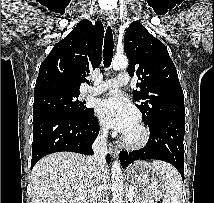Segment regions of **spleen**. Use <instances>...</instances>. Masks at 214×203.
<instances>
[{
	"label": "spleen",
	"mask_w": 214,
	"mask_h": 203,
	"mask_svg": "<svg viewBox=\"0 0 214 203\" xmlns=\"http://www.w3.org/2000/svg\"><path fill=\"white\" fill-rule=\"evenodd\" d=\"M152 165L165 177L167 190L163 203H181L183 196L181 178L176 169L161 161H154Z\"/></svg>",
	"instance_id": "spleen-1"
}]
</instances>
